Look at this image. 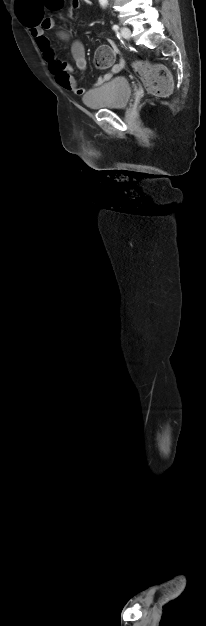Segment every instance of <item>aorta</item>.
Here are the masks:
<instances>
[{"instance_id": "762f6f07", "label": "aorta", "mask_w": 206, "mask_h": 626, "mask_svg": "<svg viewBox=\"0 0 206 626\" xmlns=\"http://www.w3.org/2000/svg\"><path fill=\"white\" fill-rule=\"evenodd\" d=\"M99 2H100V4L102 6H105L107 4L108 0H99Z\"/></svg>"}]
</instances>
